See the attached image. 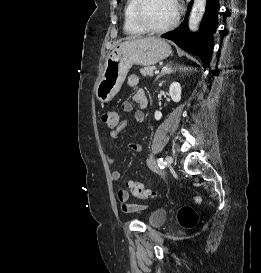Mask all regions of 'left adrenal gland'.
<instances>
[{"label": "left adrenal gland", "instance_id": "a2214340", "mask_svg": "<svg viewBox=\"0 0 261 273\" xmlns=\"http://www.w3.org/2000/svg\"><path fill=\"white\" fill-rule=\"evenodd\" d=\"M172 72H174V70L170 67L169 64H167L166 66H164V67L162 68L161 73L156 77L155 81H157L161 76H163V75H165V74H170V73H172Z\"/></svg>", "mask_w": 261, "mask_h": 273}]
</instances>
